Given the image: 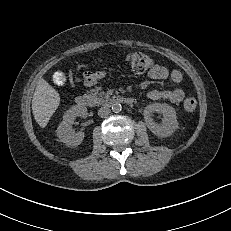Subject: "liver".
<instances>
[{
  "mask_svg": "<svg viewBox=\"0 0 231 231\" xmlns=\"http://www.w3.org/2000/svg\"><path fill=\"white\" fill-rule=\"evenodd\" d=\"M60 103L58 92L44 79H40L32 99V112L40 127L45 128Z\"/></svg>",
  "mask_w": 231,
  "mask_h": 231,
  "instance_id": "6515ba94",
  "label": "liver"
}]
</instances>
